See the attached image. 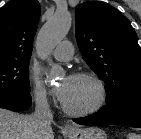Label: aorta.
<instances>
[{
	"label": "aorta",
	"mask_w": 141,
	"mask_h": 139,
	"mask_svg": "<svg viewBox=\"0 0 141 139\" xmlns=\"http://www.w3.org/2000/svg\"><path fill=\"white\" fill-rule=\"evenodd\" d=\"M72 24V18L68 13H56L42 28L37 40V50L42 58H47L49 53L67 35ZM58 72L52 70L47 80H52Z\"/></svg>",
	"instance_id": "762f6f07"
}]
</instances>
